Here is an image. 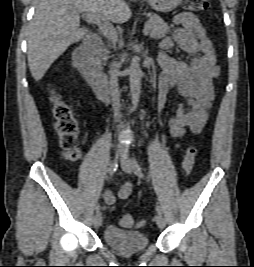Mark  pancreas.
Returning <instances> with one entry per match:
<instances>
[{
	"instance_id": "cf45deb5",
	"label": "pancreas",
	"mask_w": 254,
	"mask_h": 267,
	"mask_svg": "<svg viewBox=\"0 0 254 267\" xmlns=\"http://www.w3.org/2000/svg\"><path fill=\"white\" fill-rule=\"evenodd\" d=\"M149 20L146 22L145 27H147V34L150 35L151 38L161 39L163 38L169 31L170 27L164 22V20L158 16L157 14H149ZM116 40H112V43L115 44ZM108 51L106 49H101L99 55L103 57V60H107Z\"/></svg>"
}]
</instances>
